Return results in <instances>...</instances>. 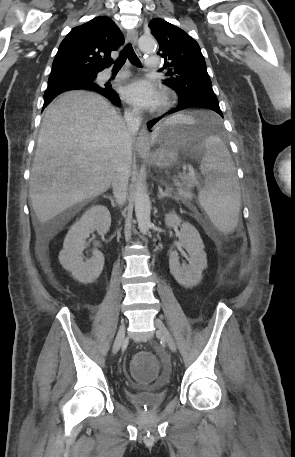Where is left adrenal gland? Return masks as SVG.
Returning a JSON list of instances; mask_svg holds the SVG:
<instances>
[{"label":"left adrenal gland","instance_id":"obj_1","mask_svg":"<svg viewBox=\"0 0 295 457\" xmlns=\"http://www.w3.org/2000/svg\"><path fill=\"white\" fill-rule=\"evenodd\" d=\"M158 189H159V194H158L159 199L172 197V195L169 194L168 189L165 192H163V190L160 186L158 187Z\"/></svg>","mask_w":295,"mask_h":457}]
</instances>
